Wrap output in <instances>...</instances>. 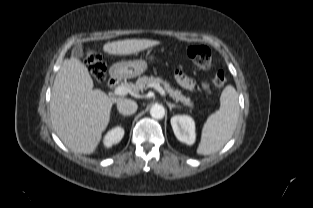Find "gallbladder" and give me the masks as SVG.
<instances>
[{
	"instance_id": "obj_1",
	"label": "gallbladder",
	"mask_w": 313,
	"mask_h": 208,
	"mask_svg": "<svg viewBox=\"0 0 313 208\" xmlns=\"http://www.w3.org/2000/svg\"><path fill=\"white\" fill-rule=\"evenodd\" d=\"M83 55V49L81 45H76L71 52V57L74 59H78L80 57H82Z\"/></svg>"
}]
</instances>
